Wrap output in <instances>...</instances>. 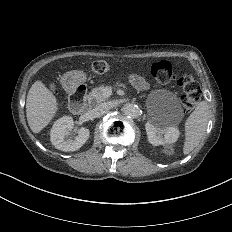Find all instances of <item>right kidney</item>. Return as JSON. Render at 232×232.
I'll return each mask as SVG.
<instances>
[{"label":"right kidney","instance_id":"1","mask_svg":"<svg viewBox=\"0 0 232 232\" xmlns=\"http://www.w3.org/2000/svg\"><path fill=\"white\" fill-rule=\"evenodd\" d=\"M90 130L86 127H81L74 131V120L72 117H62L58 119L51 132V144L63 151H77L89 139Z\"/></svg>","mask_w":232,"mask_h":232}]
</instances>
